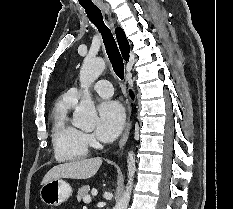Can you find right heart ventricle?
I'll list each match as a JSON object with an SVG mask.
<instances>
[{
  "instance_id": "obj_1",
  "label": "right heart ventricle",
  "mask_w": 233,
  "mask_h": 209,
  "mask_svg": "<svg viewBox=\"0 0 233 209\" xmlns=\"http://www.w3.org/2000/svg\"><path fill=\"white\" fill-rule=\"evenodd\" d=\"M76 102L77 100L67 92L57 99L53 107L52 144L55 158L60 162L81 160L89 153L82 132L69 118V113Z\"/></svg>"
}]
</instances>
